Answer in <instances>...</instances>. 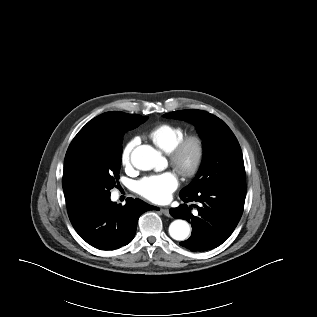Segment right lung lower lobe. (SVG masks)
<instances>
[{
    "instance_id": "1",
    "label": "right lung lower lobe",
    "mask_w": 317,
    "mask_h": 317,
    "mask_svg": "<svg viewBox=\"0 0 317 317\" xmlns=\"http://www.w3.org/2000/svg\"><path fill=\"white\" fill-rule=\"evenodd\" d=\"M69 219L80 237L101 250L127 245L135 236L141 214L157 209L140 199L128 198L124 206L110 197L81 206L66 200Z\"/></svg>"
}]
</instances>
